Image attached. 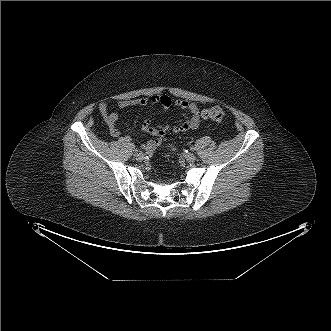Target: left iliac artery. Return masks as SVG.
I'll return each mask as SVG.
<instances>
[{"label": "left iliac artery", "mask_w": 331, "mask_h": 331, "mask_svg": "<svg viewBox=\"0 0 331 331\" xmlns=\"http://www.w3.org/2000/svg\"><path fill=\"white\" fill-rule=\"evenodd\" d=\"M191 150H192V151H194V150H195V147H194V146H192V147H191Z\"/></svg>", "instance_id": "left-iliac-artery-1"}]
</instances>
